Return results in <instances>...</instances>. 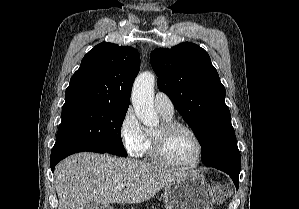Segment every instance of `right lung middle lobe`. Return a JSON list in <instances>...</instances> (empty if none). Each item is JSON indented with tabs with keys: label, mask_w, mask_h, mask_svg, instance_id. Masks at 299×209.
<instances>
[{
	"label": "right lung middle lobe",
	"mask_w": 299,
	"mask_h": 209,
	"mask_svg": "<svg viewBox=\"0 0 299 209\" xmlns=\"http://www.w3.org/2000/svg\"><path fill=\"white\" fill-rule=\"evenodd\" d=\"M127 109L102 104L63 105L56 142L96 147L110 154L127 156L121 139Z\"/></svg>",
	"instance_id": "right-lung-middle-lobe-1"
}]
</instances>
